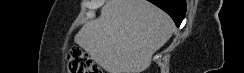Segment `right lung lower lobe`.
I'll return each instance as SVG.
<instances>
[{"label":"right lung lower lobe","mask_w":244,"mask_h":73,"mask_svg":"<svg viewBox=\"0 0 244 73\" xmlns=\"http://www.w3.org/2000/svg\"><path fill=\"white\" fill-rule=\"evenodd\" d=\"M167 12L179 27L186 13L185 0H148Z\"/></svg>","instance_id":"obj_1"}]
</instances>
